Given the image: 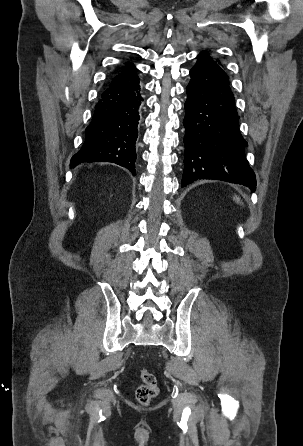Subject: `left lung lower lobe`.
Wrapping results in <instances>:
<instances>
[{
	"label": "left lung lower lobe",
	"mask_w": 303,
	"mask_h": 446,
	"mask_svg": "<svg viewBox=\"0 0 303 446\" xmlns=\"http://www.w3.org/2000/svg\"><path fill=\"white\" fill-rule=\"evenodd\" d=\"M186 88L185 155L181 184L216 179L256 189V179L244 154L247 146L228 76L208 54L200 53Z\"/></svg>",
	"instance_id": "obj_1"
}]
</instances>
